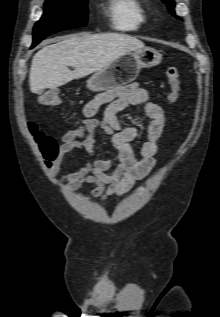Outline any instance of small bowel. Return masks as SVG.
Here are the masks:
<instances>
[{
    "instance_id": "obj_1",
    "label": "small bowel",
    "mask_w": 220,
    "mask_h": 317,
    "mask_svg": "<svg viewBox=\"0 0 220 317\" xmlns=\"http://www.w3.org/2000/svg\"><path fill=\"white\" fill-rule=\"evenodd\" d=\"M103 105H106L103 118H95ZM134 105H142L149 118L144 140L139 145H134L140 136L139 129L135 126L125 127L118 119L120 111ZM83 115L84 119L61 137L59 154L51 170L59 172V160L64 154L81 151L87 158V164L63 176L65 183L71 190L90 184L94 187L90 193L92 198L108 201L130 190L155 166V155L160 150L165 128L164 112L160 105L150 99L146 89L132 83L97 94L86 104ZM98 131L103 132L114 149V155L108 159L92 158ZM109 170L112 171L108 173Z\"/></svg>"
}]
</instances>
